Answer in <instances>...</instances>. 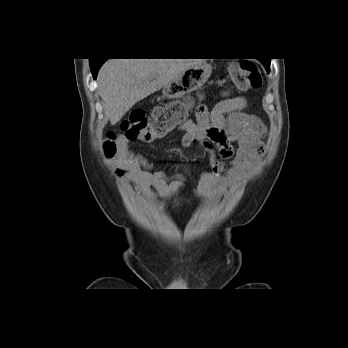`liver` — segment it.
<instances>
[{"instance_id": "obj_1", "label": "liver", "mask_w": 348, "mask_h": 348, "mask_svg": "<svg viewBox=\"0 0 348 348\" xmlns=\"http://www.w3.org/2000/svg\"><path fill=\"white\" fill-rule=\"evenodd\" d=\"M199 62V59L107 60L97 75L105 116L115 125L138 101Z\"/></svg>"}]
</instances>
